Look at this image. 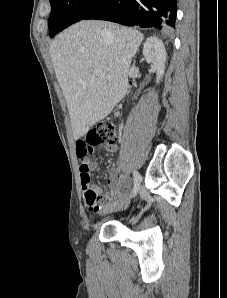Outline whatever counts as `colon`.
<instances>
[{"instance_id": "obj_1", "label": "colon", "mask_w": 227, "mask_h": 298, "mask_svg": "<svg viewBox=\"0 0 227 298\" xmlns=\"http://www.w3.org/2000/svg\"><path fill=\"white\" fill-rule=\"evenodd\" d=\"M87 142H89V146H96V145H112L117 141V134L115 127L110 123H101L91 129L87 134ZM88 178L84 179V185L88 183ZM90 181V180H89ZM86 197L90 203L96 202V197L93 193L87 192Z\"/></svg>"}]
</instances>
